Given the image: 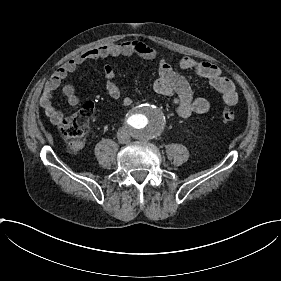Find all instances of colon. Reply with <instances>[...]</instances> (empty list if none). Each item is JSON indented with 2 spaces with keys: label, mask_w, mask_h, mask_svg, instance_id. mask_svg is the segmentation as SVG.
Segmentation results:
<instances>
[{
  "label": "colon",
  "mask_w": 281,
  "mask_h": 281,
  "mask_svg": "<svg viewBox=\"0 0 281 281\" xmlns=\"http://www.w3.org/2000/svg\"><path fill=\"white\" fill-rule=\"evenodd\" d=\"M236 119V113L231 109L224 108L220 112V120L223 123L232 124ZM61 131L72 151L78 152L83 149L87 127L82 121L77 118H68L63 123Z\"/></svg>",
  "instance_id": "colon-1"
}]
</instances>
